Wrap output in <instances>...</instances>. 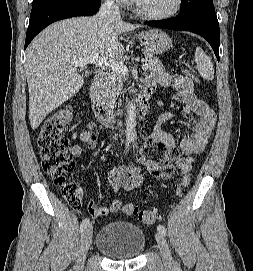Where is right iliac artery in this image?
Listing matches in <instances>:
<instances>
[{
  "label": "right iliac artery",
  "mask_w": 253,
  "mask_h": 271,
  "mask_svg": "<svg viewBox=\"0 0 253 271\" xmlns=\"http://www.w3.org/2000/svg\"><path fill=\"white\" fill-rule=\"evenodd\" d=\"M128 147H129V143H126V150L125 153L128 151ZM89 226V219L86 218L82 221L81 225H80V232L82 233L87 227Z\"/></svg>",
  "instance_id": "right-iliac-artery-1"
}]
</instances>
